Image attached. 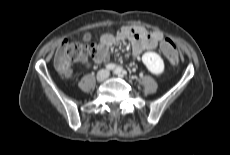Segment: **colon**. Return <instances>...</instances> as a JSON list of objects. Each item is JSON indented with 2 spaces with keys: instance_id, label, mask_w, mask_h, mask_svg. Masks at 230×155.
Returning <instances> with one entry per match:
<instances>
[{
  "instance_id": "1",
  "label": "colon",
  "mask_w": 230,
  "mask_h": 155,
  "mask_svg": "<svg viewBox=\"0 0 230 155\" xmlns=\"http://www.w3.org/2000/svg\"><path fill=\"white\" fill-rule=\"evenodd\" d=\"M161 53L168 58V66L175 68L179 62V55L174 42L171 39H165L160 43ZM106 52V46L102 42L92 43L90 45L78 42H64L56 51L54 56V66L56 70L64 77L71 74V62H86L89 58L98 60Z\"/></svg>"
}]
</instances>
